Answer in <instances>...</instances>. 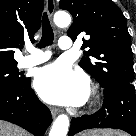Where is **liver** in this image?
I'll use <instances>...</instances> for the list:
<instances>
[{"instance_id":"1","label":"liver","mask_w":136,"mask_h":136,"mask_svg":"<svg viewBox=\"0 0 136 136\" xmlns=\"http://www.w3.org/2000/svg\"><path fill=\"white\" fill-rule=\"evenodd\" d=\"M0 136H29L20 127L0 120Z\"/></svg>"}]
</instances>
